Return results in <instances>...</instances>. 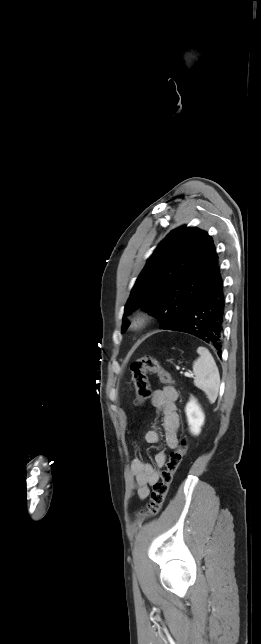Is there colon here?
<instances>
[{
	"instance_id": "5ec220e1",
	"label": "colon",
	"mask_w": 261,
	"mask_h": 644,
	"mask_svg": "<svg viewBox=\"0 0 261 644\" xmlns=\"http://www.w3.org/2000/svg\"><path fill=\"white\" fill-rule=\"evenodd\" d=\"M130 371L137 404L144 403L151 396V389L147 378L148 373L157 375L160 381L164 384L174 383V378L171 373L167 371L160 361L154 356L147 355L136 359L131 363ZM186 450L187 440L186 438H183L178 448L170 453L165 468L160 474V479L153 484L147 510L145 512H141L139 514L140 517L150 518L156 516L160 512L168 495L174 475L183 460Z\"/></svg>"
}]
</instances>
